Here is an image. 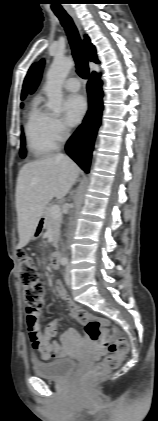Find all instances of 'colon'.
<instances>
[{
  "label": "colon",
  "mask_w": 158,
  "mask_h": 421,
  "mask_svg": "<svg viewBox=\"0 0 158 421\" xmlns=\"http://www.w3.org/2000/svg\"><path fill=\"white\" fill-rule=\"evenodd\" d=\"M17 257L20 280L28 309L36 314L42 305L43 283L40 280L39 272L26 251L18 250ZM80 320L84 325L86 337L93 342L99 343L109 351V354L103 361L97 363L82 376V384L90 386L106 372L119 366L129 350V343L123 335L111 328L104 319L94 318L88 313H84L80 315ZM40 353L44 360H48L51 356L47 349L41 350Z\"/></svg>",
  "instance_id": "5ec220e1"
}]
</instances>
